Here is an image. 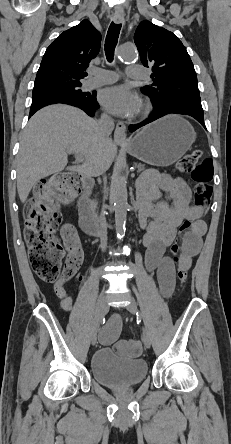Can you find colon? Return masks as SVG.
Here are the masks:
<instances>
[{
    "label": "colon",
    "instance_id": "colon-1",
    "mask_svg": "<svg viewBox=\"0 0 231 444\" xmlns=\"http://www.w3.org/2000/svg\"><path fill=\"white\" fill-rule=\"evenodd\" d=\"M203 152L194 149L181 157L176 168L179 172L190 174L194 181V202L204 209L211 200L213 177L212 163L209 159L202 160ZM83 188L82 178L74 174H57L43 181L27 210L24 238L28 246L32 269L45 282L63 285L78 270L83 255L78 251L65 252L64 247L56 237V231L61 223L59 207L71 202L77 192ZM191 223L185 221L180 227V233L191 228ZM179 244L172 246V252H179ZM177 277L180 283L187 280V270L178 269ZM132 353H139L140 343L132 341L124 344Z\"/></svg>",
    "mask_w": 231,
    "mask_h": 444
}]
</instances>
